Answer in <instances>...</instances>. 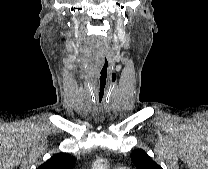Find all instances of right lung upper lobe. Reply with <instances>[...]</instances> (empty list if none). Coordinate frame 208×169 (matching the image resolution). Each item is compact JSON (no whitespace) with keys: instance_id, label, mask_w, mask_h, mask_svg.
Segmentation results:
<instances>
[{"instance_id":"right-lung-upper-lobe-1","label":"right lung upper lobe","mask_w":208,"mask_h":169,"mask_svg":"<svg viewBox=\"0 0 208 169\" xmlns=\"http://www.w3.org/2000/svg\"><path fill=\"white\" fill-rule=\"evenodd\" d=\"M75 158L67 153H57L37 169H73Z\"/></svg>"}]
</instances>
